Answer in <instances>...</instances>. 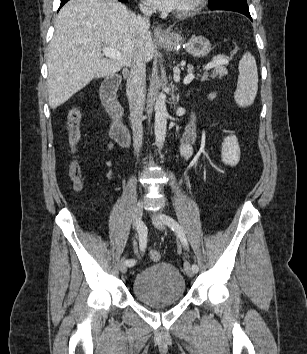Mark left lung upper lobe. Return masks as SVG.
Returning a JSON list of instances; mask_svg holds the SVG:
<instances>
[{
  "label": "left lung upper lobe",
  "instance_id": "obj_1",
  "mask_svg": "<svg viewBox=\"0 0 307 354\" xmlns=\"http://www.w3.org/2000/svg\"><path fill=\"white\" fill-rule=\"evenodd\" d=\"M213 7L248 8V5L246 0H209V8Z\"/></svg>",
  "mask_w": 307,
  "mask_h": 354
}]
</instances>
